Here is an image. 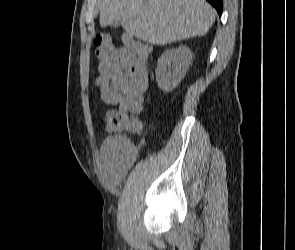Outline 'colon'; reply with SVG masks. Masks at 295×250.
I'll use <instances>...</instances> for the list:
<instances>
[{
  "label": "colon",
  "instance_id": "colon-1",
  "mask_svg": "<svg viewBox=\"0 0 295 250\" xmlns=\"http://www.w3.org/2000/svg\"><path fill=\"white\" fill-rule=\"evenodd\" d=\"M94 46L98 59L99 72L101 74L109 72L112 70L115 61L117 46L107 34H98L94 39ZM125 47L132 54H140L148 51L147 46L131 38H125ZM139 112L136 107L129 105H121L116 109L109 110L104 116L106 127L112 130L127 129L138 131L142 126L140 120L136 118Z\"/></svg>",
  "mask_w": 295,
  "mask_h": 250
}]
</instances>
